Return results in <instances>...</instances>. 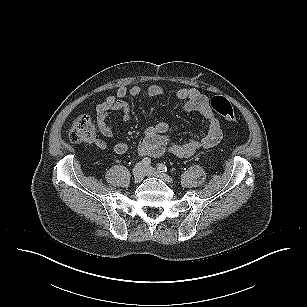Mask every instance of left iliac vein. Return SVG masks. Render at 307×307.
Returning <instances> with one entry per match:
<instances>
[{"instance_id": "obj_1", "label": "left iliac vein", "mask_w": 307, "mask_h": 307, "mask_svg": "<svg viewBox=\"0 0 307 307\" xmlns=\"http://www.w3.org/2000/svg\"><path fill=\"white\" fill-rule=\"evenodd\" d=\"M145 173L147 176L159 178L165 183H172V179L169 175L164 174L151 166L145 168Z\"/></svg>"}]
</instances>
